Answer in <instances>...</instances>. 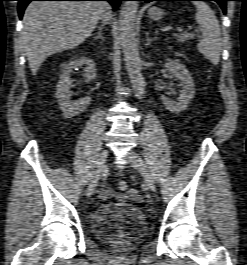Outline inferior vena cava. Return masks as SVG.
I'll list each match as a JSON object with an SVG mask.
<instances>
[{
  "mask_svg": "<svg viewBox=\"0 0 247 265\" xmlns=\"http://www.w3.org/2000/svg\"><path fill=\"white\" fill-rule=\"evenodd\" d=\"M105 6H106V9H107V12L102 15L101 19L104 22H107L110 19V17H111V11H110V7H109L108 4L105 3Z\"/></svg>",
  "mask_w": 247,
  "mask_h": 265,
  "instance_id": "1",
  "label": "inferior vena cava"
}]
</instances>
